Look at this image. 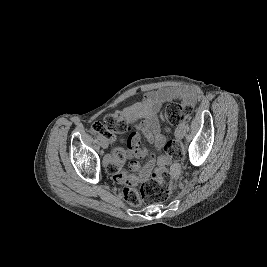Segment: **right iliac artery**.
Returning a JSON list of instances; mask_svg holds the SVG:
<instances>
[{
  "instance_id": "right-iliac-artery-1",
  "label": "right iliac artery",
  "mask_w": 267,
  "mask_h": 267,
  "mask_svg": "<svg viewBox=\"0 0 267 267\" xmlns=\"http://www.w3.org/2000/svg\"><path fill=\"white\" fill-rule=\"evenodd\" d=\"M97 138H98L99 140H101V139H102V136H101V135H97Z\"/></svg>"
}]
</instances>
